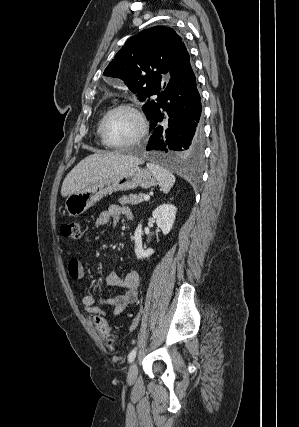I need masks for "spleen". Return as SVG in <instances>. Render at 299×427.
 <instances>
[{"mask_svg": "<svg viewBox=\"0 0 299 427\" xmlns=\"http://www.w3.org/2000/svg\"><path fill=\"white\" fill-rule=\"evenodd\" d=\"M147 168L152 172V174L159 182L162 191L164 193H168L176 181L175 176L169 170L155 163H147Z\"/></svg>", "mask_w": 299, "mask_h": 427, "instance_id": "3e777b00", "label": "spleen"}]
</instances>
